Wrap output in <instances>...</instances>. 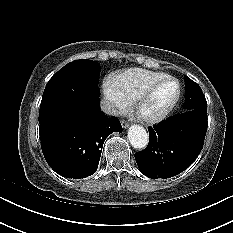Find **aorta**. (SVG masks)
Listing matches in <instances>:
<instances>
[{
  "mask_svg": "<svg viewBox=\"0 0 233 233\" xmlns=\"http://www.w3.org/2000/svg\"><path fill=\"white\" fill-rule=\"evenodd\" d=\"M128 139L133 148L142 150L148 145L149 137L140 125H132L128 130Z\"/></svg>",
  "mask_w": 233,
  "mask_h": 233,
  "instance_id": "aorta-1",
  "label": "aorta"
}]
</instances>
